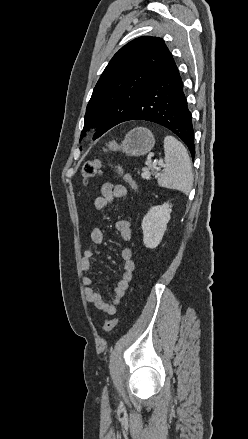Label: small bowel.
Returning a JSON list of instances; mask_svg holds the SVG:
<instances>
[{"label":"small bowel","instance_id":"small-bowel-1","mask_svg":"<svg viewBox=\"0 0 248 439\" xmlns=\"http://www.w3.org/2000/svg\"><path fill=\"white\" fill-rule=\"evenodd\" d=\"M127 194V189L123 185H114L109 182L104 183L101 186L100 195L94 199V208L101 211L115 199H125ZM115 228L123 241H129L131 239V223L128 220H118L115 223ZM90 240L93 244H101L104 241L102 229L98 227L93 228L90 233ZM120 255L123 261V271L120 280L115 286L114 296L111 301H104L102 295L93 288L94 279L91 275L86 274L82 278L84 294L88 304L108 315H114L117 312L132 280L133 271L135 269V263L132 259V251L130 248H123ZM93 256L94 250L92 248H87L84 251L80 263L83 272L90 271Z\"/></svg>","mask_w":248,"mask_h":439}]
</instances>
